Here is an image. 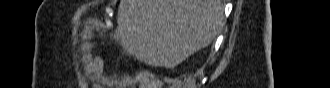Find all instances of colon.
<instances>
[{
  "label": "colon",
  "mask_w": 330,
  "mask_h": 88,
  "mask_svg": "<svg viewBox=\"0 0 330 88\" xmlns=\"http://www.w3.org/2000/svg\"><path fill=\"white\" fill-rule=\"evenodd\" d=\"M90 60H91V68H92V70H93L95 73L98 74L99 69H98V64H97L96 59L93 58V57H90Z\"/></svg>",
  "instance_id": "5ec220e1"
}]
</instances>
